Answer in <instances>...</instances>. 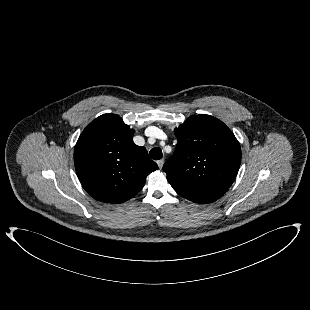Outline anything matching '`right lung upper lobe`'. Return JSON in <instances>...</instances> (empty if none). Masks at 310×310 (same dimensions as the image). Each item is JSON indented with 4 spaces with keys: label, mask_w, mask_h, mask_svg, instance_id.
Instances as JSON below:
<instances>
[{
    "label": "right lung upper lobe",
    "mask_w": 310,
    "mask_h": 310,
    "mask_svg": "<svg viewBox=\"0 0 310 310\" xmlns=\"http://www.w3.org/2000/svg\"><path fill=\"white\" fill-rule=\"evenodd\" d=\"M134 130L115 114L94 119L81 133L74 164L83 188L94 199L122 203L134 197L158 166L144 147L134 144Z\"/></svg>",
    "instance_id": "cb5924a9"
}]
</instances>
